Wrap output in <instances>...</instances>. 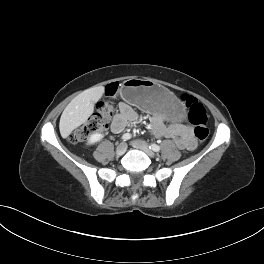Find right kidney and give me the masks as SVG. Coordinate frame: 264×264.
Masks as SVG:
<instances>
[{
  "label": "right kidney",
  "mask_w": 264,
  "mask_h": 264,
  "mask_svg": "<svg viewBox=\"0 0 264 264\" xmlns=\"http://www.w3.org/2000/svg\"><path fill=\"white\" fill-rule=\"evenodd\" d=\"M103 138V135L100 133H94L90 135L87 139V145H93L97 142H99Z\"/></svg>",
  "instance_id": "obj_1"
}]
</instances>
